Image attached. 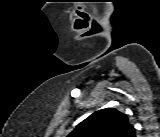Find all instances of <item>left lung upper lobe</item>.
Here are the masks:
<instances>
[{
  "mask_svg": "<svg viewBox=\"0 0 160 137\" xmlns=\"http://www.w3.org/2000/svg\"><path fill=\"white\" fill-rule=\"evenodd\" d=\"M135 128L126 114L115 108L94 112L68 135V137H134Z\"/></svg>",
  "mask_w": 160,
  "mask_h": 137,
  "instance_id": "left-lung-upper-lobe-1",
  "label": "left lung upper lobe"
}]
</instances>
